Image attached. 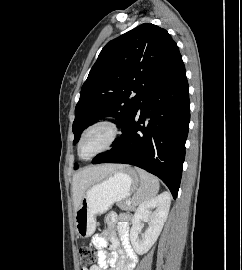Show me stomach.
Here are the masks:
<instances>
[{"label":"stomach","mask_w":242,"mask_h":270,"mask_svg":"<svg viewBox=\"0 0 242 270\" xmlns=\"http://www.w3.org/2000/svg\"><path fill=\"white\" fill-rule=\"evenodd\" d=\"M139 177L134 169L123 166L85 192L75 212L78 237H90L96 229V215L106 212L114 202L127 199L138 187Z\"/></svg>","instance_id":"obj_1"}]
</instances>
